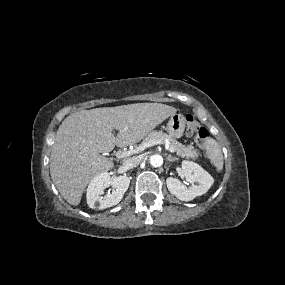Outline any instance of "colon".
<instances>
[{
	"mask_svg": "<svg viewBox=\"0 0 285 285\" xmlns=\"http://www.w3.org/2000/svg\"><path fill=\"white\" fill-rule=\"evenodd\" d=\"M185 120L187 123L186 135L188 137H193L198 146L206 151L210 142L208 130L201 126L191 114L186 115Z\"/></svg>",
	"mask_w": 285,
	"mask_h": 285,
	"instance_id": "colon-1",
	"label": "colon"
}]
</instances>
